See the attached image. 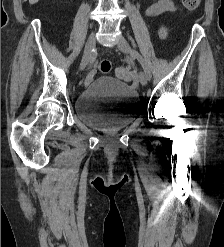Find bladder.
Here are the masks:
<instances>
[{"label": "bladder", "instance_id": "31cf9c89", "mask_svg": "<svg viewBox=\"0 0 224 247\" xmlns=\"http://www.w3.org/2000/svg\"><path fill=\"white\" fill-rule=\"evenodd\" d=\"M138 93L125 83L104 76L92 81L77 97V117L87 126L108 133L133 122L139 112Z\"/></svg>", "mask_w": 224, "mask_h": 247}]
</instances>
